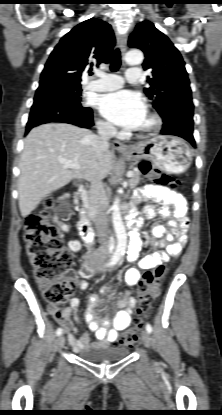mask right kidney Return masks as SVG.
I'll use <instances>...</instances> for the list:
<instances>
[{
    "instance_id": "obj_1",
    "label": "right kidney",
    "mask_w": 222,
    "mask_h": 415,
    "mask_svg": "<svg viewBox=\"0 0 222 415\" xmlns=\"http://www.w3.org/2000/svg\"><path fill=\"white\" fill-rule=\"evenodd\" d=\"M60 227L63 231H68V226L65 224H60Z\"/></svg>"
}]
</instances>
